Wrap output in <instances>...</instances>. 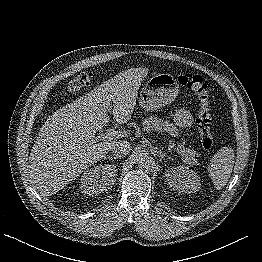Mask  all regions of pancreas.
Instances as JSON below:
<instances>
[{"label":"pancreas","mask_w":262,"mask_h":262,"mask_svg":"<svg viewBox=\"0 0 262 262\" xmlns=\"http://www.w3.org/2000/svg\"><path fill=\"white\" fill-rule=\"evenodd\" d=\"M143 130L146 132L156 131V132H167L171 134H176L177 129L176 127L169 122V120H164L155 116H149L148 118H145L143 121ZM185 155L188 154V163L192 165H196L197 161L194 158L195 152L191 150H185L183 148Z\"/></svg>","instance_id":"1"}]
</instances>
